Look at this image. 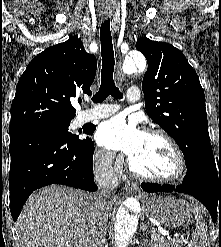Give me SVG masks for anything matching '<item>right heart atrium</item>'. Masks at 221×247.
Wrapping results in <instances>:
<instances>
[{"instance_id":"1","label":"right heart atrium","mask_w":221,"mask_h":247,"mask_svg":"<svg viewBox=\"0 0 221 247\" xmlns=\"http://www.w3.org/2000/svg\"><path fill=\"white\" fill-rule=\"evenodd\" d=\"M95 161L102 169L113 167L115 171H119L121 168L120 158H116L112 152L105 149H98L95 152Z\"/></svg>"}]
</instances>
